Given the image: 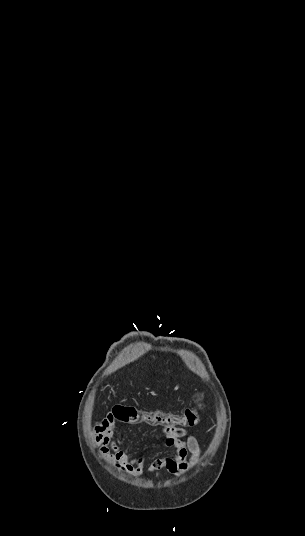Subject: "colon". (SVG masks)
Returning a JSON list of instances; mask_svg holds the SVG:
<instances>
[{"label": "colon", "mask_w": 305, "mask_h": 536, "mask_svg": "<svg viewBox=\"0 0 305 536\" xmlns=\"http://www.w3.org/2000/svg\"><path fill=\"white\" fill-rule=\"evenodd\" d=\"M195 404L187 407L181 415L171 413L146 412L134 405H121L115 409L118 422L137 423L139 421H150L151 423L164 424L175 427H194L198 420V415L204 407V394L198 392L195 397Z\"/></svg>", "instance_id": "obj_1"}]
</instances>
